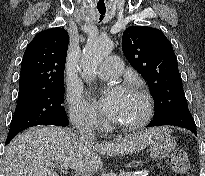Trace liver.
<instances>
[{
  "label": "liver",
  "mask_w": 205,
  "mask_h": 176,
  "mask_svg": "<svg viewBox=\"0 0 205 176\" xmlns=\"http://www.w3.org/2000/svg\"><path fill=\"white\" fill-rule=\"evenodd\" d=\"M166 131V128H151L113 143H87L62 128H31L6 147L5 176H58L47 162L66 164L80 173H95L103 166L100 155L137 152Z\"/></svg>",
  "instance_id": "6515ba94"
}]
</instances>
